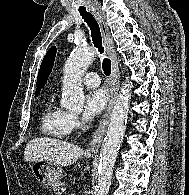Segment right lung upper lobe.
<instances>
[{"label": "right lung upper lobe", "mask_w": 189, "mask_h": 195, "mask_svg": "<svg viewBox=\"0 0 189 195\" xmlns=\"http://www.w3.org/2000/svg\"><path fill=\"white\" fill-rule=\"evenodd\" d=\"M55 54H56V47L53 46L47 51L44 59L42 60L40 70H39V75L37 78V83H36L37 89H36L35 96L39 94L40 89L45 85L47 81V77L51 73L54 64Z\"/></svg>", "instance_id": "1"}]
</instances>
